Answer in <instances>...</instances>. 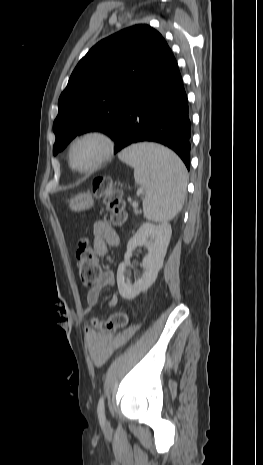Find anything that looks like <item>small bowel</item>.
Returning a JSON list of instances; mask_svg holds the SVG:
<instances>
[{
	"label": "small bowel",
	"mask_w": 263,
	"mask_h": 465,
	"mask_svg": "<svg viewBox=\"0 0 263 465\" xmlns=\"http://www.w3.org/2000/svg\"><path fill=\"white\" fill-rule=\"evenodd\" d=\"M92 233L94 236V252L97 256H105L108 253V246H114L119 243L118 233L103 221H98L93 225ZM115 283L114 273L110 270L104 271L95 287L87 293V307L85 313H90L97 305L101 292L105 287L112 286ZM119 303L117 295H113L108 306L115 308ZM139 325H133L121 333H100L93 329H86L85 337L89 354L96 366L103 365L110 356L118 349L130 336L136 334Z\"/></svg>",
	"instance_id": "obj_1"
}]
</instances>
